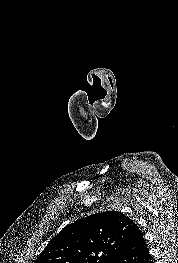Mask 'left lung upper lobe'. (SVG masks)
<instances>
[{
    "label": "left lung upper lobe",
    "instance_id": "left-lung-upper-lobe-1",
    "mask_svg": "<svg viewBox=\"0 0 178 263\" xmlns=\"http://www.w3.org/2000/svg\"><path fill=\"white\" fill-rule=\"evenodd\" d=\"M132 224L118 211L79 219L52 238L34 263H112Z\"/></svg>",
    "mask_w": 178,
    "mask_h": 263
}]
</instances>
